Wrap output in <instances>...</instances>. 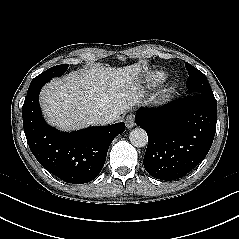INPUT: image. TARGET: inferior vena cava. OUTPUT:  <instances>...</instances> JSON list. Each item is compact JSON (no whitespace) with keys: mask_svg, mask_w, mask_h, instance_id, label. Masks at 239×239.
I'll return each mask as SVG.
<instances>
[{"mask_svg":"<svg viewBox=\"0 0 239 239\" xmlns=\"http://www.w3.org/2000/svg\"><path fill=\"white\" fill-rule=\"evenodd\" d=\"M95 121L97 124L107 125L115 121V118L112 115L99 114L95 117Z\"/></svg>","mask_w":239,"mask_h":239,"instance_id":"1","label":"inferior vena cava"}]
</instances>
